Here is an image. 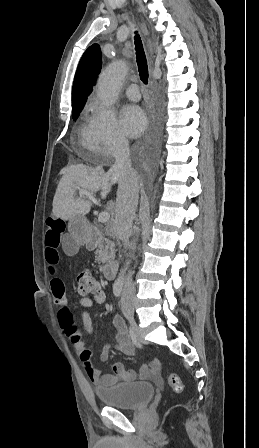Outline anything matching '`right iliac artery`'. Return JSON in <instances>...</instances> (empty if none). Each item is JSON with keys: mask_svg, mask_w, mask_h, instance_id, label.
Listing matches in <instances>:
<instances>
[{"mask_svg": "<svg viewBox=\"0 0 259 448\" xmlns=\"http://www.w3.org/2000/svg\"><path fill=\"white\" fill-rule=\"evenodd\" d=\"M122 292V284L120 283H115L113 286V293L116 297H119L121 295Z\"/></svg>", "mask_w": 259, "mask_h": 448, "instance_id": "right-iliac-artery-1", "label": "right iliac artery"}]
</instances>
